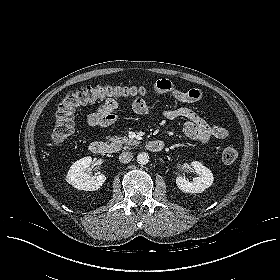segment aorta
<instances>
[{"mask_svg":"<svg viewBox=\"0 0 280 280\" xmlns=\"http://www.w3.org/2000/svg\"><path fill=\"white\" fill-rule=\"evenodd\" d=\"M137 162L141 165H145L149 162V155L145 152L139 153L137 156Z\"/></svg>","mask_w":280,"mask_h":280,"instance_id":"aorta-1","label":"aorta"}]
</instances>
